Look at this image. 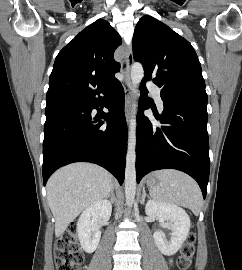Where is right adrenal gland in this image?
<instances>
[{
	"label": "right adrenal gland",
	"mask_w": 242,
	"mask_h": 270,
	"mask_svg": "<svg viewBox=\"0 0 242 270\" xmlns=\"http://www.w3.org/2000/svg\"><path fill=\"white\" fill-rule=\"evenodd\" d=\"M106 198H110L111 203H113L115 201L114 188H112L111 192L107 195Z\"/></svg>",
	"instance_id": "1"
}]
</instances>
